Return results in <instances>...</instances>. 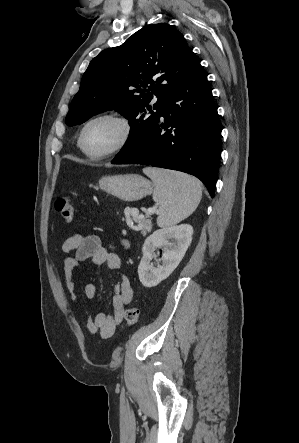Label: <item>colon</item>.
<instances>
[{
	"instance_id": "1",
	"label": "colon",
	"mask_w": 299,
	"mask_h": 443,
	"mask_svg": "<svg viewBox=\"0 0 299 443\" xmlns=\"http://www.w3.org/2000/svg\"><path fill=\"white\" fill-rule=\"evenodd\" d=\"M55 210L61 215L65 222L71 223L74 219V208L66 196H60L55 201ZM140 311L137 307H131L125 312V320L129 326L138 323Z\"/></svg>"
}]
</instances>
